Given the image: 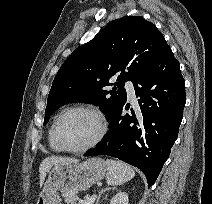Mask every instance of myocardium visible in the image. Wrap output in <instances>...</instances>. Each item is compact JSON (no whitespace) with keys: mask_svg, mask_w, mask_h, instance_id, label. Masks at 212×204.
<instances>
[{"mask_svg":"<svg viewBox=\"0 0 212 204\" xmlns=\"http://www.w3.org/2000/svg\"><path fill=\"white\" fill-rule=\"evenodd\" d=\"M70 112L88 113L95 118L97 125H98V130H97V133L94 136V138L89 143H87L86 145L79 147V148L67 147L66 145L63 144V142L61 141V139L59 137V133H58L59 123H60L61 119ZM52 132H53V138H54L56 144L59 146V148L62 151L69 152V153H77V154L84 153V152H87V151L93 149L102 141V139L104 138V136L107 132V121H106L104 114L99 109H97L95 107H91V106L76 105V106L68 107L59 113V115L57 116V118L55 119V121L53 123Z\"/></svg>","mask_w":212,"mask_h":204,"instance_id":"obj_1","label":"myocardium"}]
</instances>
